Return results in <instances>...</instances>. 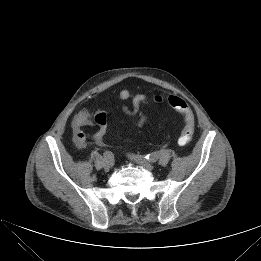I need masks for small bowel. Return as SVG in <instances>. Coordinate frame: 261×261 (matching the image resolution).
<instances>
[{
  "mask_svg": "<svg viewBox=\"0 0 261 261\" xmlns=\"http://www.w3.org/2000/svg\"><path fill=\"white\" fill-rule=\"evenodd\" d=\"M119 100L121 102V110L128 115H135L139 112L142 105H149L150 97L147 94L139 93L132 96L130 90L122 89L119 92ZM147 119V114L143 113L138 119V124H143ZM94 124L97 130L92 135H87L83 128L87 125ZM71 128L73 139L78 148H84L87 141L91 139L97 145L104 144V136L107 131V114L105 110L96 111L94 118L87 108H82L74 116Z\"/></svg>",
  "mask_w": 261,
  "mask_h": 261,
  "instance_id": "c3829d8e",
  "label": "small bowel"
}]
</instances>
